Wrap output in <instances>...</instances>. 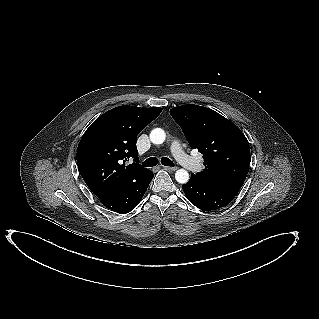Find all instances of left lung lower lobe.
<instances>
[{
	"label": "left lung lower lobe",
	"mask_w": 319,
	"mask_h": 319,
	"mask_svg": "<svg viewBox=\"0 0 319 319\" xmlns=\"http://www.w3.org/2000/svg\"><path fill=\"white\" fill-rule=\"evenodd\" d=\"M188 200L202 210H217L230 203L236 194L216 185L207 183L194 174L188 183L182 185Z\"/></svg>",
	"instance_id": "0a47b994"
}]
</instances>
